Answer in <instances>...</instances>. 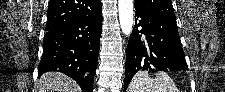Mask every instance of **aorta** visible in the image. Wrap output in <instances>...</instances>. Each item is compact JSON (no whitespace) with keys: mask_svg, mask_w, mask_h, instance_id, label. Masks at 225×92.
<instances>
[{"mask_svg":"<svg viewBox=\"0 0 225 92\" xmlns=\"http://www.w3.org/2000/svg\"><path fill=\"white\" fill-rule=\"evenodd\" d=\"M119 21L123 34L129 36L132 32L134 20L133 0H119Z\"/></svg>","mask_w":225,"mask_h":92,"instance_id":"obj_1","label":"aorta"}]
</instances>
